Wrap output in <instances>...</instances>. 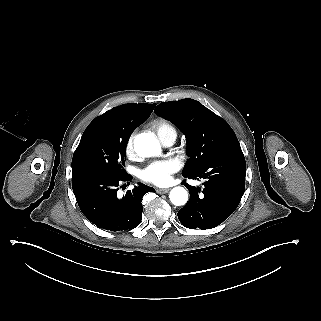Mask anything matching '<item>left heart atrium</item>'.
Segmentation results:
<instances>
[{
    "mask_svg": "<svg viewBox=\"0 0 321 321\" xmlns=\"http://www.w3.org/2000/svg\"><path fill=\"white\" fill-rule=\"evenodd\" d=\"M180 167L181 162L177 158L153 161L141 170L140 177L142 180L156 185H167Z\"/></svg>",
    "mask_w": 321,
    "mask_h": 321,
    "instance_id": "39dd6f15",
    "label": "left heart atrium"
}]
</instances>
